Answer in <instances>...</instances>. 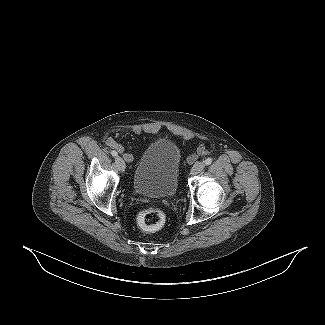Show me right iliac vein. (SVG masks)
<instances>
[{"instance_id": "obj_1", "label": "right iliac vein", "mask_w": 325, "mask_h": 325, "mask_svg": "<svg viewBox=\"0 0 325 325\" xmlns=\"http://www.w3.org/2000/svg\"><path fill=\"white\" fill-rule=\"evenodd\" d=\"M115 163H116V166L118 167V169L120 170V171H124L125 170V162H124V160L121 158V157H116L115 158Z\"/></svg>"}]
</instances>
